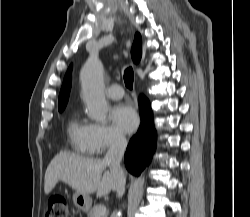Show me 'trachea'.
<instances>
[{
  "label": "trachea",
  "instance_id": "obj_1",
  "mask_svg": "<svg viewBox=\"0 0 250 217\" xmlns=\"http://www.w3.org/2000/svg\"><path fill=\"white\" fill-rule=\"evenodd\" d=\"M134 73L131 67L127 68L124 72V82L127 88H133Z\"/></svg>",
  "mask_w": 250,
  "mask_h": 217
}]
</instances>
